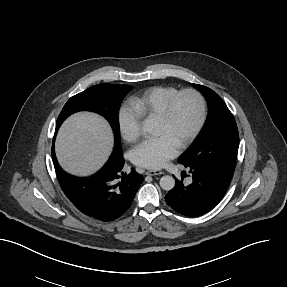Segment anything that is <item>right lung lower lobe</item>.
Instances as JSON below:
<instances>
[{"label":"right lung lower lobe","instance_id":"obj_1","mask_svg":"<svg viewBox=\"0 0 287 287\" xmlns=\"http://www.w3.org/2000/svg\"><path fill=\"white\" fill-rule=\"evenodd\" d=\"M52 159L60 186L69 200L85 215L103 222L123 215L143 182L134 169L124 174L122 152L112 154L105 166L88 178L65 173L59 166L55 152Z\"/></svg>","mask_w":287,"mask_h":287}]
</instances>
